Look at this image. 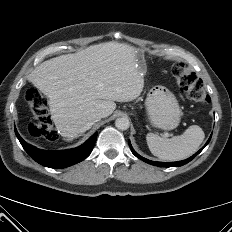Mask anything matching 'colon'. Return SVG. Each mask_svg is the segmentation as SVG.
Listing matches in <instances>:
<instances>
[{
	"label": "colon",
	"instance_id": "5ec220e1",
	"mask_svg": "<svg viewBox=\"0 0 232 232\" xmlns=\"http://www.w3.org/2000/svg\"><path fill=\"white\" fill-rule=\"evenodd\" d=\"M172 76L180 91L185 93L189 99L197 103H206L208 96L204 90L203 81L184 63H175L171 68ZM25 99L32 112L28 132L34 138H44L54 141L58 138L53 128L48 111L47 99L36 88L26 91Z\"/></svg>",
	"mask_w": 232,
	"mask_h": 232
}]
</instances>
